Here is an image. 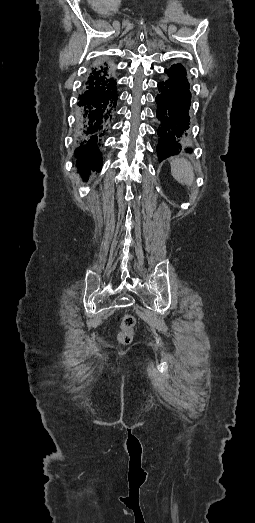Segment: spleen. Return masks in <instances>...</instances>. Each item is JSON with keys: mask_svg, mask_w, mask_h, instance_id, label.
Instances as JSON below:
<instances>
[{"mask_svg": "<svg viewBox=\"0 0 255 523\" xmlns=\"http://www.w3.org/2000/svg\"><path fill=\"white\" fill-rule=\"evenodd\" d=\"M171 174L179 184H187V186H192L194 182V172L193 168L185 158H175L171 162Z\"/></svg>", "mask_w": 255, "mask_h": 523, "instance_id": "1", "label": "spleen"}]
</instances>
